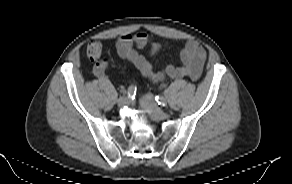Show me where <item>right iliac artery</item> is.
Wrapping results in <instances>:
<instances>
[{"mask_svg":"<svg viewBox=\"0 0 292 184\" xmlns=\"http://www.w3.org/2000/svg\"><path fill=\"white\" fill-rule=\"evenodd\" d=\"M136 94V87L134 85L129 86L127 91L128 98H134Z\"/></svg>","mask_w":292,"mask_h":184,"instance_id":"82829eb1","label":"right iliac artery"}]
</instances>
